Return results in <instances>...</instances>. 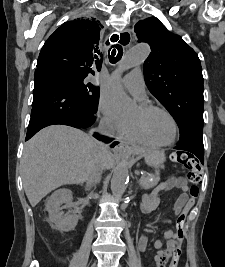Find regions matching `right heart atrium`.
Segmentation results:
<instances>
[{"label": "right heart atrium", "mask_w": 225, "mask_h": 267, "mask_svg": "<svg viewBox=\"0 0 225 267\" xmlns=\"http://www.w3.org/2000/svg\"><path fill=\"white\" fill-rule=\"evenodd\" d=\"M98 111L101 123L106 129L119 136L124 135L129 121L120 116L113 104L107 98H100Z\"/></svg>", "instance_id": "right-heart-atrium-1"}]
</instances>
